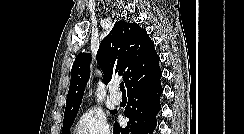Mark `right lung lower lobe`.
<instances>
[{
    "instance_id": "obj_1",
    "label": "right lung lower lobe",
    "mask_w": 244,
    "mask_h": 134,
    "mask_svg": "<svg viewBox=\"0 0 244 134\" xmlns=\"http://www.w3.org/2000/svg\"><path fill=\"white\" fill-rule=\"evenodd\" d=\"M161 76L162 74L127 92L128 105L125 116L129 118V122L122 128L116 121L114 134H153L157 125L156 115L161 109Z\"/></svg>"
}]
</instances>
